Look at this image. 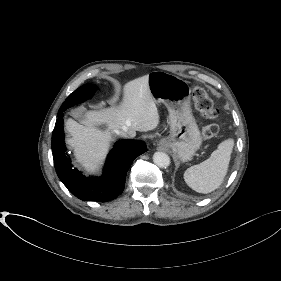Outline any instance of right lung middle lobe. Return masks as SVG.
Returning <instances> with one entry per match:
<instances>
[{
    "label": "right lung middle lobe",
    "instance_id": "obj_1",
    "mask_svg": "<svg viewBox=\"0 0 281 281\" xmlns=\"http://www.w3.org/2000/svg\"><path fill=\"white\" fill-rule=\"evenodd\" d=\"M96 90L97 88L93 84H85L81 86L68 96L66 101L62 104L61 108L59 109L58 115L63 113L69 107L87 100L95 93Z\"/></svg>",
    "mask_w": 281,
    "mask_h": 281
}]
</instances>
